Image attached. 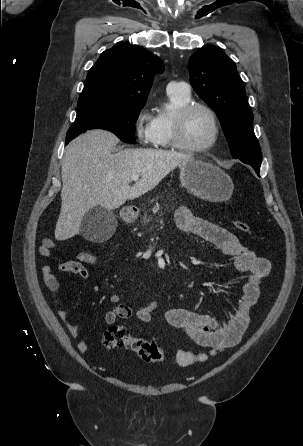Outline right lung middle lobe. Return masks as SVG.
I'll return each mask as SVG.
<instances>
[{"label":"right lung middle lobe","mask_w":303,"mask_h":446,"mask_svg":"<svg viewBox=\"0 0 303 446\" xmlns=\"http://www.w3.org/2000/svg\"><path fill=\"white\" fill-rule=\"evenodd\" d=\"M143 106L94 103L77 106V116L66 135V144L90 129L113 132L125 143H133L135 123Z\"/></svg>","instance_id":"1"}]
</instances>
